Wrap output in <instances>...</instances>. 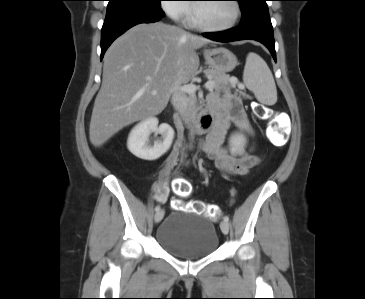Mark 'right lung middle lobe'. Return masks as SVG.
<instances>
[{
  "mask_svg": "<svg viewBox=\"0 0 365 299\" xmlns=\"http://www.w3.org/2000/svg\"><path fill=\"white\" fill-rule=\"evenodd\" d=\"M107 12L128 6L161 7V0H108Z\"/></svg>",
  "mask_w": 365,
  "mask_h": 299,
  "instance_id": "dd1d6c3e",
  "label": "right lung middle lobe"
}]
</instances>
